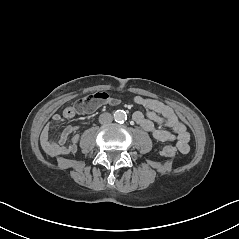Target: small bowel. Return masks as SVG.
Segmentation results:
<instances>
[{"mask_svg":"<svg viewBox=\"0 0 239 239\" xmlns=\"http://www.w3.org/2000/svg\"><path fill=\"white\" fill-rule=\"evenodd\" d=\"M134 102L146 110V114L142 112H135L133 114V120L136 124L151 133L158 141L175 142L177 149L181 153L185 154L189 151L190 135L185 124L170 106L157 99L143 96H136ZM94 109H81L79 112H89ZM74 115L70 113V107H67L62 115L55 114L52 120L43 128L40 138L41 145L48 155L55 157L76 151L79 140V136L76 134L78 126H67L58 140H55L52 136V132L57 125ZM156 123L164 125L167 129L157 127Z\"/></svg>","mask_w":239,"mask_h":239,"instance_id":"small-bowel-1","label":"small bowel"}]
</instances>
